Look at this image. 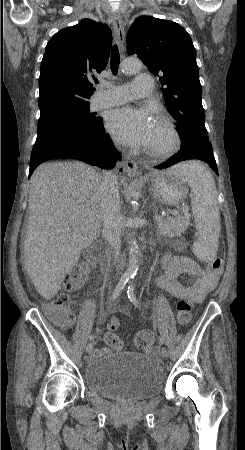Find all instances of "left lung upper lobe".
<instances>
[{"label":"left lung upper lobe","instance_id":"obj_1","mask_svg":"<svg viewBox=\"0 0 245 450\" xmlns=\"http://www.w3.org/2000/svg\"><path fill=\"white\" fill-rule=\"evenodd\" d=\"M127 51L159 76L167 110L178 122L181 150L210 146L196 52L186 30L173 21L140 16L129 29Z\"/></svg>","mask_w":245,"mask_h":450}]
</instances>
